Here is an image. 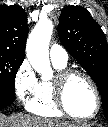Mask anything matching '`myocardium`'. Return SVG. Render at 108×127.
<instances>
[{"label":"myocardium","mask_w":108,"mask_h":127,"mask_svg":"<svg viewBox=\"0 0 108 127\" xmlns=\"http://www.w3.org/2000/svg\"><path fill=\"white\" fill-rule=\"evenodd\" d=\"M75 76H80L84 80L87 81V83L90 85L92 88L95 98H96V106L94 112L89 115V116H78L74 114L73 112L70 111L66 104V88L69 83V81L75 77ZM53 89H54V98H55V103L58 107V109L65 115L76 119L80 121H88L96 117V115L99 113L100 108H101V95L99 92V89L94 82V80L85 72L78 70V69H65L60 71L55 79L53 80Z\"/></svg>","instance_id":"myocardium-1"}]
</instances>
